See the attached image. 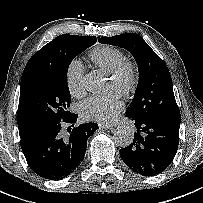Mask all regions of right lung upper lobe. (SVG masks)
<instances>
[{
    "label": "right lung upper lobe",
    "mask_w": 203,
    "mask_h": 203,
    "mask_svg": "<svg viewBox=\"0 0 203 203\" xmlns=\"http://www.w3.org/2000/svg\"><path fill=\"white\" fill-rule=\"evenodd\" d=\"M87 39L97 41L96 37L94 36H77L68 34L57 36L29 59L23 74L32 68L50 63L60 51L66 49L68 46L75 42ZM17 120L20 138H24L26 136L43 131L40 127H38L32 117L25 110L21 102V98L19 99Z\"/></svg>",
    "instance_id": "right-lung-upper-lobe-1"
}]
</instances>
